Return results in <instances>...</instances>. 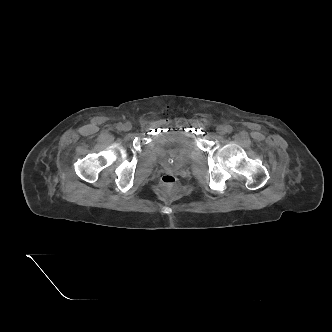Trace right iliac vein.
<instances>
[{
  "label": "right iliac vein",
  "instance_id": "1",
  "mask_svg": "<svg viewBox=\"0 0 332 332\" xmlns=\"http://www.w3.org/2000/svg\"><path fill=\"white\" fill-rule=\"evenodd\" d=\"M132 129V125L130 122H126L123 126H122V130L124 131H130Z\"/></svg>",
  "mask_w": 332,
  "mask_h": 332
}]
</instances>
